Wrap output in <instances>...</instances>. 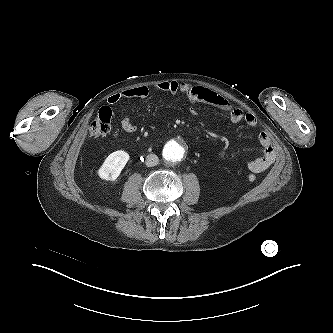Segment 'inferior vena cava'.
<instances>
[{"instance_id":"602c4592","label":"inferior vena cava","mask_w":333,"mask_h":333,"mask_svg":"<svg viewBox=\"0 0 333 333\" xmlns=\"http://www.w3.org/2000/svg\"><path fill=\"white\" fill-rule=\"evenodd\" d=\"M158 162H159V158L157 155H155V154L147 155V157H146V166L147 167L155 166L158 164Z\"/></svg>"}]
</instances>
